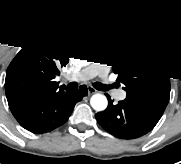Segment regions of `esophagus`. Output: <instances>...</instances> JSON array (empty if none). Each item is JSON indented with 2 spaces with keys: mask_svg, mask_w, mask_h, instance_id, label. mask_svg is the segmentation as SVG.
Returning a JSON list of instances; mask_svg holds the SVG:
<instances>
[{
  "mask_svg": "<svg viewBox=\"0 0 181 164\" xmlns=\"http://www.w3.org/2000/svg\"><path fill=\"white\" fill-rule=\"evenodd\" d=\"M96 92V90L94 89V88H92L91 86H88V94L90 95V94H93V93H95Z\"/></svg>",
  "mask_w": 181,
  "mask_h": 164,
  "instance_id": "34e87169",
  "label": "esophagus"
}]
</instances>
